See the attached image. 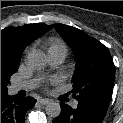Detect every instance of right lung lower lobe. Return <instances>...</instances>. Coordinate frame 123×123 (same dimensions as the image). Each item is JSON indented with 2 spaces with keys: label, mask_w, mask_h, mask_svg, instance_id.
Returning a JSON list of instances; mask_svg holds the SVG:
<instances>
[{
  "label": "right lung lower lobe",
  "mask_w": 123,
  "mask_h": 123,
  "mask_svg": "<svg viewBox=\"0 0 123 123\" xmlns=\"http://www.w3.org/2000/svg\"><path fill=\"white\" fill-rule=\"evenodd\" d=\"M35 103L36 100L31 97L1 95V123H24L26 112Z\"/></svg>",
  "instance_id": "right-lung-lower-lobe-1"
}]
</instances>
